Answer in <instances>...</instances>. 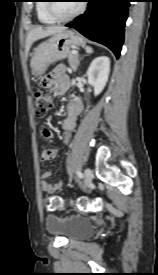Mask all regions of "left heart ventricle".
Segmentation results:
<instances>
[{"label":"left heart ventricle","instance_id":"left-heart-ventricle-1","mask_svg":"<svg viewBox=\"0 0 158 275\" xmlns=\"http://www.w3.org/2000/svg\"><path fill=\"white\" fill-rule=\"evenodd\" d=\"M80 1H59L56 3V10L62 16H67L74 12L80 5Z\"/></svg>","mask_w":158,"mask_h":275}]
</instances>
